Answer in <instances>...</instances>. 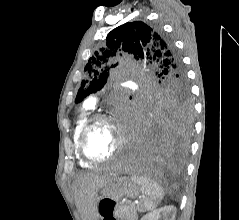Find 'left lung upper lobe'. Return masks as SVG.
<instances>
[{"mask_svg":"<svg viewBox=\"0 0 239 220\" xmlns=\"http://www.w3.org/2000/svg\"><path fill=\"white\" fill-rule=\"evenodd\" d=\"M121 51L134 54L160 78L159 84L146 96L145 108L173 112L181 122L190 124L193 105L181 59L159 29L141 21L128 22L108 34L106 45L89 58L84 68L85 79L75 103L104 87L110 69L117 66V63L111 65V60Z\"/></svg>","mask_w":239,"mask_h":220,"instance_id":"left-lung-upper-lobe-1","label":"left lung upper lobe"}]
</instances>
